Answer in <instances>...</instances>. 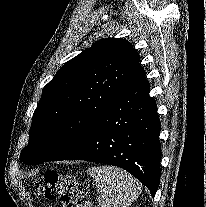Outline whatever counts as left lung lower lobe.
I'll list each match as a JSON object with an SVG mask.
<instances>
[{
    "instance_id": "left-lung-lower-lobe-1",
    "label": "left lung lower lobe",
    "mask_w": 206,
    "mask_h": 207,
    "mask_svg": "<svg viewBox=\"0 0 206 207\" xmlns=\"http://www.w3.org/2000/svg\"><path fill=\"white\" fill-rule=\"evenodd\" d=\"M143 71L100 117L84 144L62 160L118 166L154 197L160 181V120Z\"/></svg>"
}]
</instances>
